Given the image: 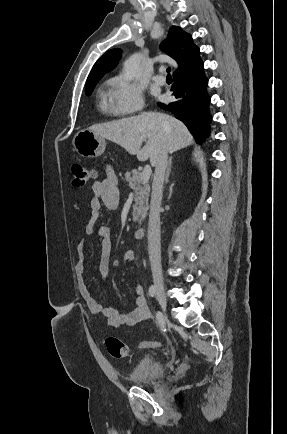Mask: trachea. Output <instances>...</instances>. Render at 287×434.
Returning a JSON list of instances; mask_svg holds the SVG:
<instances>
[{"label":"trachea","mask_w":287,"mask_h":434,"mask_svg":"<svg viewBox=\"0 0 287 434\" xmlns=\"http://www.w3.org/2000/svg\"><path fill=\"white\" fill-rule=\"evenodd\" d=\"M166 71H167V78H171V75H170L171 68L168 67Z\"/></svg>","instance_id":"obj_1"}]
</instances>
